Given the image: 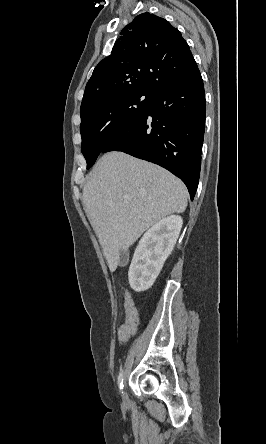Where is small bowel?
I'll use <instances>...</instances> for the list:
<instances>
[{"label": "small bowel", "instance_id": "1", "mask_svg": "<svg viewBox=\"0 0 266 444\" xmlns=\"http://www.w3.org/2000/svg\"><path fill=\"white\" fill-rule=\"evenodd\" d=\"M124 322L118 329V339L121 342L127 341L133 336L139 324L138 312L131 295L128 292L123 293Z\"/></svg>", "mask_w": 266, "mask_h": 444}]
</instances>
